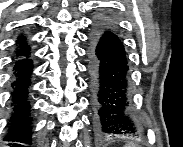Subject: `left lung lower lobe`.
<instances>
[{"label":"left lung lower lobe","mask_w":183,"mask_h":147,"mask_svg":"<svg viewBox=\"0 0 183 147\" xmlns=\"http://www.w3.org/2000/svg\"><path fill=\"white\" fill-rule=\"evenodd\" d=\"M94 125L100 136L141 131L130 109L128 65L124 46L108 28L96 26L88 52Z\"/></svg>","instance_id":"left-lung-lower-lobe-1"}]
</instances>
